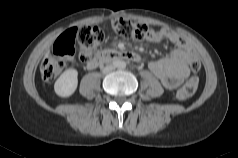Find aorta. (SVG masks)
<instances>
[{
  "mask_svg": "<svg viewBox=\"0 0 238 158\" xmlns=\"http://www.w3.org/2000/svg\"><path fill=\"white\" fill-rule=\"evenodd\" d=\"M117 67L120 69H124L126 67V62L125 61H118L117 62Z\"/></svg>",
  "mask_w": 238,
  "mask_h": 158,
  "instance_id": "1",
  "label": "aorta"
}]
</instances>
